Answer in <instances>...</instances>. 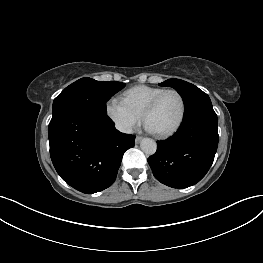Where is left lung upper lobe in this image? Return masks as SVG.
Masks as SVG:
<instances>
[{
  "label": "left lung upper lobe",
  "instance_id": "5c2ea615",
  "mask_svg": "<svg viewBox=\"0 0 263 263\" xmlns=\"http://www.w3.org/2000/svg\"><path fill=\"white\" fill-rule=\"evenodd\" d=\"M159 85L171 86L178 91L185 104L184 117L201 109L212 107L209 96L191 83L180 79H168Z\"/></svg>",
  "mask_w": 263,
  "mask_h": 263
}]
</instances>
